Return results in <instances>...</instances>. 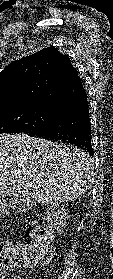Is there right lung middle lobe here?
Listing matches in <instances>:
<instances>
[{
  "label": "right lung middle lobe",
  "instance_id": "right-lung-middle-lobe-1",
  "mask_svg": "<svg viewBox=\"0 0 113 279\" xmlns=\"http://www.w3.org/2000/svg\"><path fill=\"white\" fill-rule=\"evenodd\" d=\"M62 108L39 105L0 109L1 133H29L55 122L63 114Z\"/></svg>",
  "mask_w": 113,
  "mask_h": 279
}]
</instances>
